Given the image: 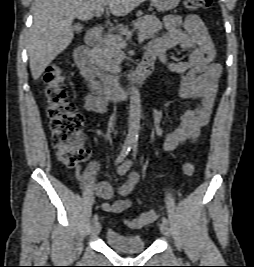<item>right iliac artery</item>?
<instances>
[{"label": "right iliac artery", "mask_w": 254, "mask_h": 267, "mask_svg": "<svg viewBox=\"0 0 254 267\" xmlns=\"http://www.w3.org/2000/svg\"><path fill=\"white\" fill-rule=\"evenodd\" d=\"M131 147H132V142L127 140L125 141L124 145H123V148L120 152V154L118 155V157L116 158L115 160V164H119L121 163L125 157L128 155L129 151L131 150ZM98 221V215L95 214L94 217H93V222H97Z\"/></svg>", "instance_id": "82829eb1"}]
</instances>
